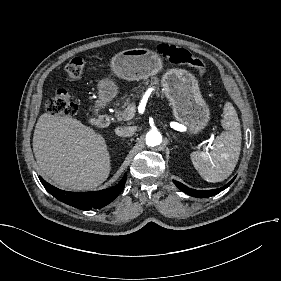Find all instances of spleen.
Listing matches in <instances>:
<instances>
[{"instance_id":"spleen-1","label":"spleen","mask_w":281,"mask_h":281,"mask_svg":"<svg viewBox=\"0 0 281 281\" xmlns=\"http://www.w3.org/2000/svg\"><path fill=\"white\" fill-rule=\"evenodd\" d=\"M222 127L226 130L215 140L212 151L193 152L191 157L202 177L212 183L222 182L234 171L241 152V124L233 104L223 108Z\"/></svg>"}]
</instances>
